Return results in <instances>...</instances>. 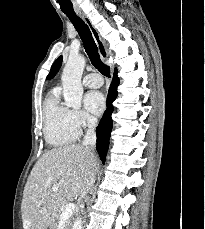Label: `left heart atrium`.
<instances>
[{"label": "left heart atrium", "mask_w": 205, "mask_h": 229, "mask_svg": "<svg viewBox=\"0 0 205 229\" xmlns=\"http://www.w3.org/2000/svg\"><path fill=\"white\" fill-rule=\"evenodd\" d=\"M84 104L86 109L94 114L100 115L105 109V98L99 91H91L86 94L84 98Z\"/></svg>", "instance_id": "39dd6f15"}]
</instances>
